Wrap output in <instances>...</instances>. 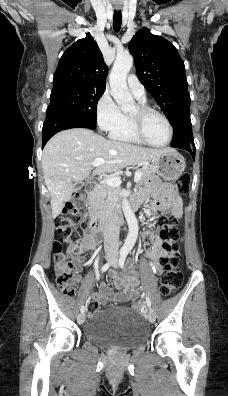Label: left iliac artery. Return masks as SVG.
I'll list each match as a JSON object with an SVG mask.
<instances>
[{"mask_svg":"<svg viewBox=\"0 0 228 396\" xmlns=\"http://www.w3.org/2000/svg\"><path fill=\"white\" fill-rule=\"evenodd\" d=\"M127 255H128V252H122L121 255H120L119 265H120L121 268H123V266H124V263H125ZM146 303H147V306L149 308H151V301H150V298L148 296H146Z\"/></svg>","mask_w":228,"mask_h":396,"instance_id":"44dca946","label":"left iliac artery"}]
</instances>
